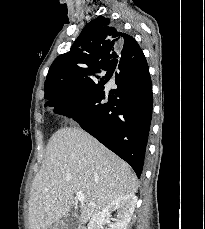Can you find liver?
<instances>
[{"label": "liver", "instance_id": "6515ba94", "mask_svg": "<svg viewBox=\"0 0 205 229\" xmlns=\"http://www.w3.org/2000/svg\"><path fill=\"white\" fill-rule=\"evenodd\" d=\"M132 168L90 134L77 127L50 138L43 165L29 197L30 229H47L65 216L74 194L84 193L79 221L84 224L110 202L137 192Z\"/></svg>", "mask_w": 205, "mask_h": 229}]
</instances>
